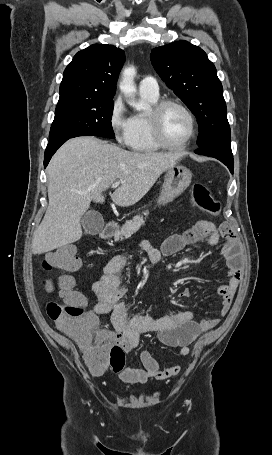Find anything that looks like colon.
<instances>
[{
	"instance_id": "1",
	"label": "colon",
	"mask_w": 272,
	"mask_h": 455,
	"mask_svg": "<svg viewBox=\"0 0 272 455\" xmlns=\"http://www.w3.org/2000/svg\"><path fill=\"white\" fill-rule=\"evenodd\" d=\"M191 197L196 206L210 215H218L219 204L206 186L201 183L194 184ZM79 265L80 260L74 245H64L47 254L44 269L48 273H58L59 278L54 282L47 276L42 280V285L48 292H57L63 301L48 302L46 312L65 334L79 344L89 368L96 372L110 368L116 372L124 367V349L119 344L95 334L97 321L85 311L84 297L73 290V279L70 275Z\"/></svg>"
}]
</instances>
